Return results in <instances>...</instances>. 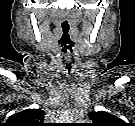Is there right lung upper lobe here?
<instances>
[{"instance_id":"right-lung-upper-lobe-1","label":"right lung upper lobe","mask_w":135,"mask_h":126,"mask_svg":"<svg viewBox=\"0 0 135 126\" xmlns=\"http://www.w3.org/2000/svg\"><path fill=\"white\" fill-rule=\"evenodd\" d=\"M44 112L40 109H26L11 115L7 123L11 126H32L40 125L44 120Z\"/></svg>"}]
</instances>
